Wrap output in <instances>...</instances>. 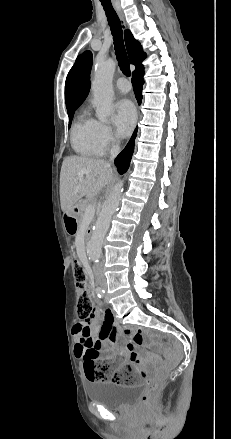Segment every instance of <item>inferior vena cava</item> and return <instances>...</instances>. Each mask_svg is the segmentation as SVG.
Instances as JSON below:
<instances>
[{
    "label": "inferior vena cava",
    "mask_w": 231,
    "mask_h": 439,
    "mask_svg": "<svg viewBox=\"0 0 231 439\" xmlns=\"http://www.w3.org/2000/svg\"><path fill=\"white\" fill-rule=\"evenodd\" d=\"M119 152H120V146H119V142H117V143L113 144V146L111 148V151H110V154H111L110 161L114 160V158L119 154ZM101 270H102V264L101 263L100 264H96L95 267H94V272L96 274H99V275L102 276Z\"/></svg>",
    "instance_id": "1"
}]
</instances>
